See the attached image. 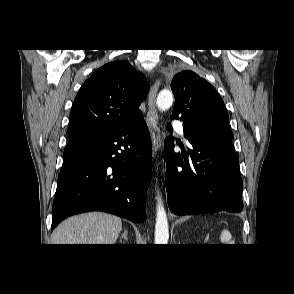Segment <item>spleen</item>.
I'll return each mask as SVG.
<instances>
[{
	"label": "spleen",
	"instance_id": "spleen-1",
	"mask_svg": "<svg viewBox=\"0 0 294 294\" xmlns=\"http://www.w3.org/2000/svg\"><path fill=\"white\" fill-rule=\"evenodd\" d=\"M220 238H221V241L224 243H231L232 236L228 230H223Z\"/></svg>",
	"mask_w": 294,
	"mask_h": 294
}]
</instances>
